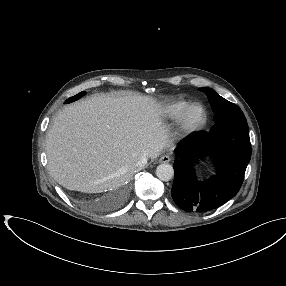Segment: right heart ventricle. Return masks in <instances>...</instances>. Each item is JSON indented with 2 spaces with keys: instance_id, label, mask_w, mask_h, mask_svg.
I'll return each mask as SVG.
<instances>
[{
  "instance_id": "right-heart-ventricle-1",
  "label": "right heart ventricle",
  "mask_w": 286,
  "mask_h": 286,
  "mask_svg": "<svg viewBox=\"0 0 286 286\" xmlns=\"http://www.w3.org/2000/svg\"><path fill=\"white\" fill-rule=\"evenodd\" d=\"M190 104L189 101L182 99L164 102L158 107L156 116L163 122L180 120Z\"/></svg>"
}]
</instances>
